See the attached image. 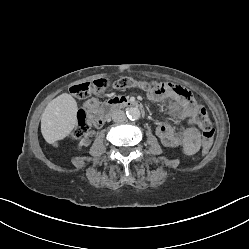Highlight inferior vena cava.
I'll use <instances>...</instances> for the list:
<instances>
[{"label": "inferior vena cava", "instance_id": "1", "mask_svg": "<svg viewBox=\"0 0 249 249\" xmlns=\"http://www.w3.org/2000/svg\"><path fill=\"white\" fill-rule=\"evenodd\" d=\"M112 120L114 122H124L126 120V115L122 110H115L112 113Z\"/></svg>", "mask_w": 249, "mask_h": 249}]
</instances>
